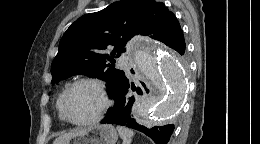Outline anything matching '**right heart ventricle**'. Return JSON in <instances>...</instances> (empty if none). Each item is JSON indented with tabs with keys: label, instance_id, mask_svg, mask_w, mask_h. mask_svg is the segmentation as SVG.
Returning <instances> with one entry per match:
<instances>
[{
	"label": "right heart ventricle",
	"instance_id": "right-heart-ventricle-1",
	"mask_svg": "<svg viewBox=\"0 0 260 144\" xmlns=\"http://www.w3.org/2000/svg\"><path fill=\"white\" fill-rule=\"evenodd\" d=\"M70 86V83H66L61 92L59 93L57 99H56V109H57V113H58V118L60 119V121H64V118L62 116V113H61V100H62V97L64 95V93L66 92V90L68 89V87Z\"/></svg>",
	"mask_w": 260,
	"mask_h": 144
}]
</instances>
